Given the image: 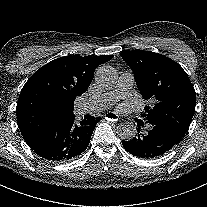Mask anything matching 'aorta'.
Returning <instances> with one entry per match:
<instances>
[{
	"label": "aorta",
	"instance_id": "762f6f07",
	"mask_svg": "<svg viewBox=\"0 0 207 207\" xmlns=\"http://www.w3.org/2000/svg\"><path fill=\"white\" fill-rule=\"evenodd\" d=\"M118 80V73L111 66H101L95 73L96 83L103 89H111ZM118 136L124 140H132L136 136V126L131 122L120 123L117 127Z\"/></svg>",
	"mask_w": 207,
	"mask_h": 207
}]
</instances>
